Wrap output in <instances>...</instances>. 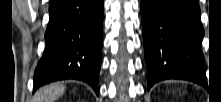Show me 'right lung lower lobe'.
<instances>
[{
	"label": "right lung lower lobe",
	"instance_id": "obj_1",
	"mask_svg": "<svg viewBox=\"0 0 221 102\" xmlns=\"http://www.w3.org/2000/svg\"><path fill=\"white\" fill-rule=\"evenodd\" d=\"M103 6L104 0H52L33 91L50 82L76 79L90 84L98 95Z\"/></svg>",
	"mask_w": 221,
	"mask_h": 102
}]
</instances>
